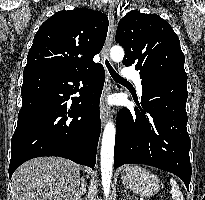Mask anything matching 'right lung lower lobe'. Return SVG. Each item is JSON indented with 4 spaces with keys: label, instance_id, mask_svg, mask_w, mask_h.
I'll return each instance as SVG.
<instances>
[{
    "label": "right lung lower lobe",
    "instance_id": "right-lung-lower-lobe-1",
    "mask_svg": "<svg viewBox=\"0 0 205 200\" xmlns=\"http://www.w3.org/2000/svg\"><path fill=\"white\" fill-rule=\"evenodd\" d=\"M23 77L9 177L22 163L40 156H60L94 169L103 66L96 64L82 72L26 70ZM76 92L80 97H70Z\"/></svg>",
    "mask_w": 205,
    "mask_h": 200
}]
</instances>
